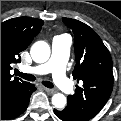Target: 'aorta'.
<instances>
[{
  "mask_svg": "<svg viewBox=\"0 0 121 121\" xmlns=\"http://www.w3.org/2000/svg\"><path fill=\"white\" fill-rule=\"evenodd\" d=\"M31 57L36 63H44L50 57V47L45 41L35 42L30 50ZM67 103L65 95L56 93L52 96V104L58 108H64Z\"/></svg>",
  "mask_w": 121,
  "mask_h": 121,
  "instance_id": "aorta-1",
  "label": "aorta"
}]
</instances>
